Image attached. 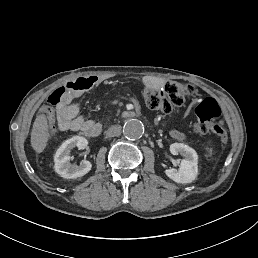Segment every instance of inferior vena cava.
Masks as SVG:
<instances>
[{
    "mask_svg": "<svg viewBox=\"0 0 258 258\" xmlns=\"http://www.w3.org/2000/svg\"><path fill=\"white\" fill-rule=\"evenodd\" d=\"M122 127L120 125H113L107 131L108 137H116L121 134Z\"/></svg>",
    "mask_w": 258,
    "mask_h": 258,
    "instance_id": "1",
    "label": "inferior vena cava"
}]
</instances>
